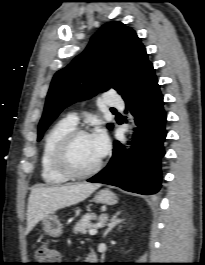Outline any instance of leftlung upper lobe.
I'll use <instances>...</instances> for the list:
<instances>
[{"label":"left lung upper lobe","instance_id":"1","mask_svg":"<svg viewBox=\"0 0 205 265\" xmlns=\"http://www.w3.org/2000/svg\"><path fill=\"white\" fill-rule=\"evenodd\" d=\"M151 66L146 49L132 28L118 21L106 23L86 49L54 75L38 126V141L65 107L110 88L125 97Z\"/></svg>","mask_w":205,"mask_h":265}]
</instances>
